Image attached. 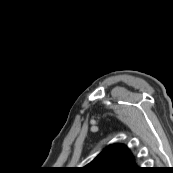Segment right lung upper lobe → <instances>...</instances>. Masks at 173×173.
<instances>
[{
	"instance_id": "right-lung-upper-lobe-1",
	"label": "right lung upper lobe",
	"mask_w": 173,
	"mask_h": 173,
	"mask_svg": "<svg viewBox=\"0 0 173 173\" xmlns=\"http://www.w3.org/2000/svg\"><path fill=\"white\" fill-rule=\"evenodd\" d=\"M135 167L129 149L114 144L104 149L91 163L81 170L84 173H128Z\"/></svg>"
}]
</instances>
